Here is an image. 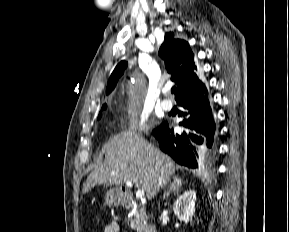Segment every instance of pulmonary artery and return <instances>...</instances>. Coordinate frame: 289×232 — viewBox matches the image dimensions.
I'll return each instance as SVG.
<instances>
[{
    "instance_id": "pulmonary-artery-1",
    "label": "pulmonary artery",
    "mask_w": 289,
    "mask_h": 232,
    "mask_svg": "<svg viewBox=\"0 0 289 232\" xmlns=\"http://www.w3.org/2000/svg\"><path fill=\"white\" fill-rule=\"evenodd\" d=\"M164 91L167 92L168 89H165ZM161 107L164 110L169 111V110L172 109L173 103H172V101L170 99H164V100L161 101Z\"/></svg>"
}]
</instances>
